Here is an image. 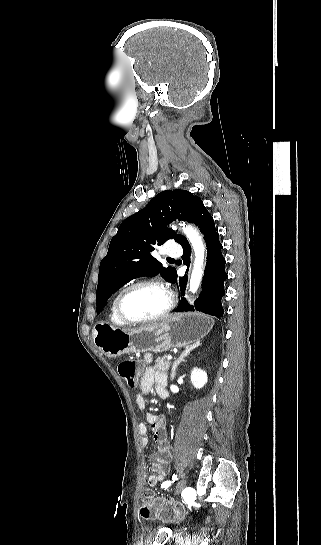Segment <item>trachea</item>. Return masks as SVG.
Segmentation results:
<instances>
[{
    "mask_svg": "<svg viewBox=\"0 0 321 545\" xmlns=\"http://www.w3.org/2000/svg\"><path fill=\"white\" fill-rule=\"evenodd\" d=\"M168 260H169V261H171V262H174V261H175V259H174V258H172V259H168Z\"/></svg>",
    "mask_w": 321,
    "mask_h": 545,
    "instance_id": "3493384b",
    "label": "trachea"
}]
</instances>
